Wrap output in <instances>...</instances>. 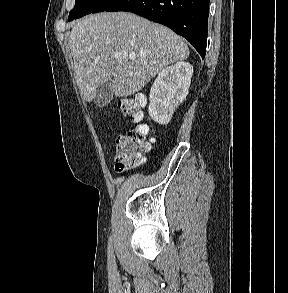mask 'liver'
I'll list each match as a JSON object with an SVG mask.
<instances>
[{
	"instance_id": "liver-1",
	"label": "liver",
	"mask_w": 288,
	"mask_h": 293,
	"mask_svg": "<svg viewBox=\"0 0 288 293\" xmlns=\"http://www.w3.org/2000/svg\"><path fill=\"white\" fill-rule=\"evenodd\" d=\"M68 44L74 76L87 102L109 79L117 97L133 95L168 65L189 56L187 44L171 29L128 12H102L81 19L72 28ZM123 52L135 58L117 57Z\"/></svg>"
}]
</instances>
